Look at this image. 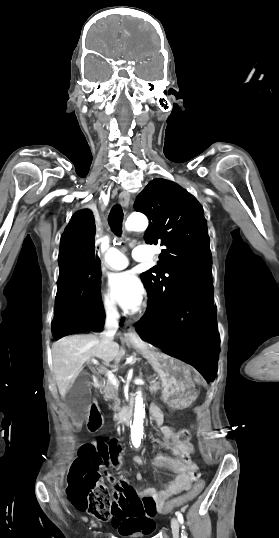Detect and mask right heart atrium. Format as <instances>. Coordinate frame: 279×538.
Here are the masks:
<instances>
[{
	"label": "right heart atrium",
	"mask_w": 279,
	"mask_h": 538,
	"mask_svg": "<svg viewBox=\"0 0 279 538\" xmlns=\"http://www.w3.org/2000/svg\"><path fill=\"white\" fill-rule=\"evenodd\" d=\"M98 309L105 320H111L118 316V307L109 292L100 289L98 293Z\"/></svg>",
	"instance_id": "right-heart-atrium-1"
}]
</instances>
